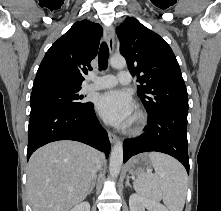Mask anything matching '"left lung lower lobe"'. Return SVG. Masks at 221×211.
I'll return each mask as SVG.
<instances>
[{
	"mask_svg": "<svg viewBox=\"0 0 221 211\" xmlns=\"http://www.w3.org/2000/svg\"><path fill=\"white\" fill-rule=\"evenodd\" d=\"M187 114L188 110L171 109L149 115L145 133L124 141V162L138 153L157 151L179 160L189 173Z\"/></svg>",
	"mask_w": 221,
	"mask_h": 211,
	"instance_id": "1",
	"label": "left lung lower lobe"
}]
</instances>
